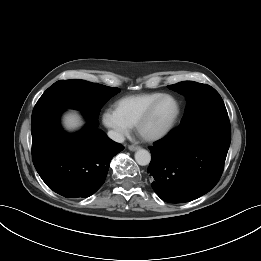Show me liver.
I'll return each mask as SVG.
<instances>
[{
    "instance_id": "6515ba94",
    "label": "liver",
    "mask_w": 261,
    "mask_h": 261,
    "mask_svg": "<svg viewBox=\"0 0 261 261\" xmlns=\"http://www.w3.org/2000/svg\"><path fill=\"white\" fill-rule=\"evenodd\" d=\"M63 124L67 130H75L82 125V121L76 113H69L64 117Z\"/></svg>"
}]
</instances>
